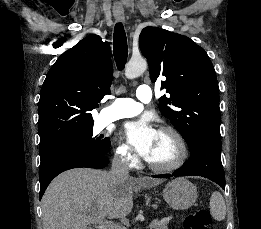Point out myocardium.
I'll list each match as a JSON object with an SVG mask.
<instances>
[{"mask_svg": "<svg viewBox=\"0 0 261 229\" xmlns=\"http://www.w3.org/2000/svg\"><path fill=\"white\" fill-rule=\"evenodd\" d=\"M158 133L167 134L173 141L176 149L175 157L166 164H156L146 160L150 169L158 172H170L179 169L185 163L187 158V146L181 134L171 126H162L158 129Z\"/></svg>", "mask_w": 261, "mask_h": 229, "instance_id": "1", "label": "myocardium"}]
</instances>
